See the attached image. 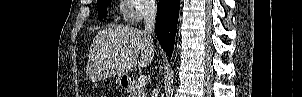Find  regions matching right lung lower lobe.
Returning a JSON list of instances; mask_svg holds the SVG:
<instances>
[{
	"instance_id": "98d812e1",
	"label": "right lung lower lobe",
	"mask_w": 302,
	"mask_h": 97,
	"mask_svg": "<svg viewBox=\"0 0 302 97\" xmlns=\"http://www.w3.org/2000/svg\"><path fill=\"white\" fill-rule=\"evenodd\" d=\"M180 0H160L157 4L155 31L160 45L172 56L179 17Z\"/></svg>"
}]
</instances>
